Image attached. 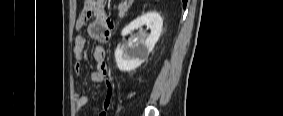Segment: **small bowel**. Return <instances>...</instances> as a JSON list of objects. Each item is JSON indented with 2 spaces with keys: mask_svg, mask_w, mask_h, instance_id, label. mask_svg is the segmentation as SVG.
<instances>
[{
  "mask_svg": "<svg viewBox=\"0 0 283 116\" xmlns=\"http://www.w3.org/2000/svg\"><path fill=\"white\" fill-rule=\"evenodd\" d=\"M105 0H89L85 2V7L77 20V28L81 29L85 23L94 18L93 21L88 22L85 26L86 33H80L74 43V54L77 59L75 70L77 74L82 73V61L84 58V50L86 46V35L98 42L93 50V59L95 69L91 73V81L94 83L105 82V97L102 109L97 113L98 116H107L111 102L114 96V84L107 77L108 67L105 62V52L101 44L106 42L109 38V33L114 24L104 10ZM89 102V97L85 94H77L76 109L79 111L85 107Z\"/></svg>",
  "mask_w": 283,
  "mask_h": 116,
  "instance_id": "c3829d8e",
  "label": "small bowel"
}]
</instances>
